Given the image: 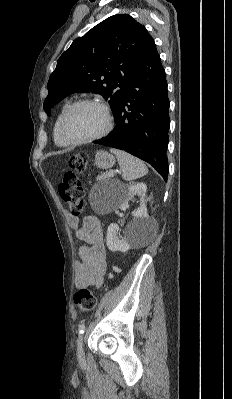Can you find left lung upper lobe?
Masks as SVG:
<instances>
[{"label": "left lung upper lobe", "instance_id": "obj_1", "mask_svg": "<svg viewBox=\"0 0 232 399\" xmlns=\"http://www.w3.org/2000/svg\"><path fill=\"white\" fill-rule=\"evenodd\" d=\"M153 38L128 14L113 15L73 41L57 62L48 81L44 111L75 92L101 94L113 115L127 83Z\"/></svg>", "mask_w": 232, "mask_h": 399}]
</instances>
